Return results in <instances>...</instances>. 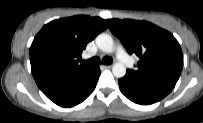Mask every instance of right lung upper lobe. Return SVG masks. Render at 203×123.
Masks as SVG:
<instances>
[{
	"label": "right lung upper lobe",
	"instance_id": "obj_1",
	"mask_svg": "<svg viewBox=\"0 0 203 123\" xmlns=\"http://www.w3.org/2000/svg\"><path fill=\"white\" fill-rule=\"evenodd\" d=\"M107 28L99 17L77 15L51 21L43 26L30 47V63L34 79L52 72L87 70L79 64L88 42Z\"/></svg>",
	"mask_w": 203,
	"mask_h": 123
}]
</instances>
